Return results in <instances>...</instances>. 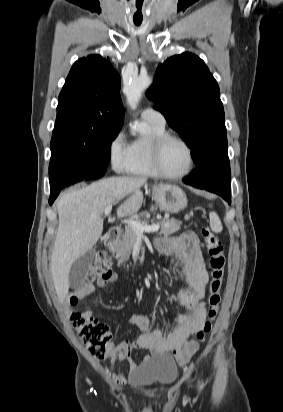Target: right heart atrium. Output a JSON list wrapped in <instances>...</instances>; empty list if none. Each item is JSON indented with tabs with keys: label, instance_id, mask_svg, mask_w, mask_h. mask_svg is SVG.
Masks as SVG:
<instances>
[{
	"label": "right heart atrium",
	"instance_id": "d8ad5b80",
	"mask_svg": "<svg viewBox=\"0 0 283 412\" xmlns=\"http://www.w3.org/2000/svg\"><path fill=\"white\" fill-rule=\"evenodd\" d=\"M109 158L116 171H124L128 159V144L122 131L116 133L110 141Z\"/></svg>",
	"mask_w": 283,
	"mask_h": 412
}]
</instances>
